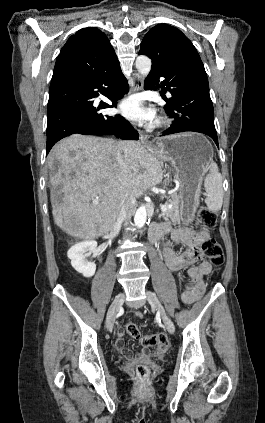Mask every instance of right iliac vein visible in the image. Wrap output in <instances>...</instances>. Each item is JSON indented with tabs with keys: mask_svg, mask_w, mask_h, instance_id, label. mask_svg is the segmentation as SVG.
<instances>
[{
	"mask_svg": "<svg viewBox=\"0 0 265 423\" xmlns=\"http://www.w3.org/2000/svg\"><path fill=\"white\" fill-rule=\"evenodd\" d=\"M125 299V295L123 293L116 296L113 303L111 304L106 318V326L107 330L111 331L114 325V320L117 312L119 311L120 307L122 306Z\"/></svg>",
	"mask_w": 265,
	"mask_h": 423,
	"instance_id": "63e3f726",
	"label": "right iliac vein"
}]
</instances>
